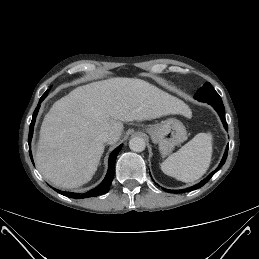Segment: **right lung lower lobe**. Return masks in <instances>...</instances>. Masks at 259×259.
I'll return each instance as SVG.
<instances>
[{
    "label": "right lung lower lobe",
    "mask_w": 259,
    "mask_h": 259,
    "mask_svg": "<svg viewBox=\"0 0 259 259\" xmlns=\"http://www.w3.org/2000/svg\"><path fill=\"white\" fill-rule=\"evenodd\" d=\"M45 97H46V94H43L42 97L40 98L39 104L34 111L32 121L30 124L28 143H29V153H30L32 162H33V159H32V154H31V149H30V143H31L32 135H33V127H34L35 119H36V116H37V113L39 110V105ZM121 148H122V144L120 146H118L111 153L110 158H109V168H108L107 175H106L105 179L102 181V183L100 185H98L96 188H94L86 193L60 192L58 190L57 191L67 197L75 198V199L95 197V196L107 193L109 191V187H110V184H111V182L113 180V176H114L115 160H116V157H117L119 151L121 150Z\"/></svg>",
    "instance_id": "obj_1"
}]
</instances>
